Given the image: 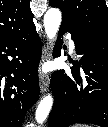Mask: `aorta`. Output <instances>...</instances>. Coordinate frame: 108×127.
I'll return each mask as SVG.
<instances>
[{
	"label": "aorta",
	"instance_id": "762f6f07",
	"mask_svg": "<svg viewBox=\"0 0 108 127\" xmlns=\"http://www.w3.org/2000/svg\"><path fill=\"white\" fill-rule=\"evenodd\" d=\"M62 21V13L57 8H50L44 15V28L47 37L53 40L59 30ZM53 104V97L51 95L45 96L39 103L35 119L37 123L42 124L50 113Z\"/></svg>",
	"mask_w": 108,
	"mask_h": 127
}]
</instances>
